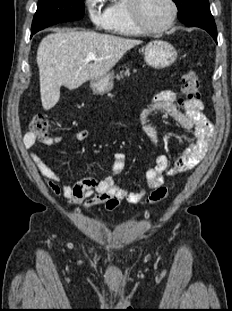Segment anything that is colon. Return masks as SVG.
<instances>
[{
  "instance_id": "5ec220e1",
  "label": "colon",
  "mask_w": 232,
  "mask_h": 311,
  "mask_svg": "<svg viewBox=\"0 0 232 311\" xmlns=\"http://www.w3.org/2000/svg\"><path fill=\"white\" fill-rule=\"evenodd\" d=\"M183 93L188 100L200 99V80L193 70H189L183 77ZM51 128V122L43 114L35 115L29 122V130L40 137L47 135ZM169 195L167 187L161 186L155 189L144 201L145 204L153 205L165 200Z\"/></svg>"
}]
</instances>
